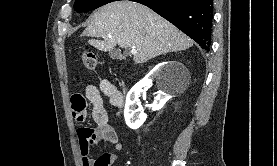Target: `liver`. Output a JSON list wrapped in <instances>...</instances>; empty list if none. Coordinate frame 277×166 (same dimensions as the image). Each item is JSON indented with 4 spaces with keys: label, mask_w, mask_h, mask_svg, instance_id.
Segmentation results:
<instances>
[{
    "label": "liver",
    "mask_w": 277,
    "mask_h": 166,
    "mask_svg": "<svg viewBox=\"0 0 277 166\" xmlns=\"http://www.w3.org/2000/svg\"><path fill=\"white\" fill-rule=\"evenodd\" d=\"M84 34L103 39L89 40V44L100 51H111L116 45L135 48L137 53L133 60L137 64L193 45V41L173 24L148 7L128 0L100 7Z\"/></svg>",
    "instance_id": "1"
}]
</instances>
